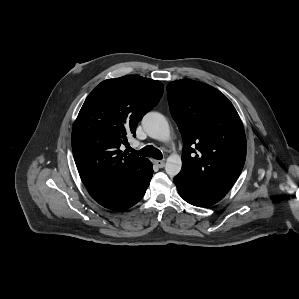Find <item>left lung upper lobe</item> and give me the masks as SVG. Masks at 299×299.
<instances>
[{"label":"left lung upper lobe","mask_w":299,"mask_h":299,"mask_svg":"<svg viewBox=\"0 0 299 299\" xmlns=\"http://www.w3.org/2000/svg\"><path fill=\"white\" fill-rule=\"evenodd\" d=\"M167 92L184 143L179 175L227 193L246 158L245 131L236 109L214 87L190 79L170 82Z\"/></svg>","instance_id":"1"}]
</instances>
